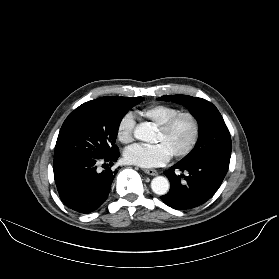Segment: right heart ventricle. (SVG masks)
<instances>
[{
    "label": "right heart ventricle",
    "instance_id": "obj_1",
    "mask_svg": "<svg viewBox=\"0 0 279 279\" xmlns=\"http://www.w3.org/2000/svg\"><path fill=\"white\" fill-rule=\"evenodd\" d=\"M180 109L168 104H153L142 108L139 114L155 126H160Z\"/></svg>",
    "mask_w": 279,
    "mask_h": 279
}]
</instances>
